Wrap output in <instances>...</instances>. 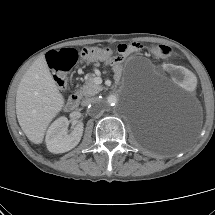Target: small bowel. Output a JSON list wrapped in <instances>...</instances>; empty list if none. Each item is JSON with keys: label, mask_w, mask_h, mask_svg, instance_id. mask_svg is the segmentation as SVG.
I'll use <instances>...</instances> for the list:
<instances>
[{"label": "small bowel", "mask_w": 215, "mask_h": 215, "mask_svg": "<svg viewBox=\"0 0 215 215\" xmlns=\"http://www.w3.org/2000/svg\"><path fill=\"white\" fill-rule=\"evenodd\" d=\"M136 45H137V48H136L135 51L127 53V54H124V55H121V54L120 55L122 57H125V56H128V55L132 54V53H136V52H139L140 50H142L143 46L141 44L136 43ZM121 60H122L121 57H118V58H116L114 60V63H115V72H116L117 75H120V73H121V65H120Z\"/></svg>", "instance_id": "c3829d8e"}]
</instances>
